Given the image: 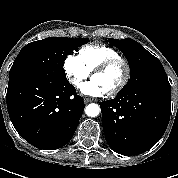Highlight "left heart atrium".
<instances>
[{
    "instance_id": "left-heart-atrium-1",
    "label": "left heart atrium",
    "mask_w": 178,
    "mask_h": 178,
    "mask_svg": "<svg viewBox=\"0 0 178 178\" xmlns=\"http://www.w3.org/2000/svg\"><path fill=\"white\" fill-rule=\"evenodd\" d=\"M80 91L82 94L90 97H100L107 93L106 89L94 79L82 84Z\"/></svg>"
}]
</instances>
